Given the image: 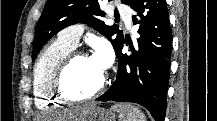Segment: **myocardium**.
I'll list each match as a JSON object with an SVG mask.
<instances>
[{"mask_svg":"<svg viewBox=\"0 0 217 121\" xmlns=\"http://www.w3.org/2000/svg\"><path fill=\"white\" fill-rule=\"evenodd\" d=\"M91 57L87 52L84 51H71L57 66L54 71L53 77L51 79V89L53 95L60 100L61 102H68V103H86L92 101L93 99L97 98L101 95L107 85L108 81V74L105 72L99 86L90 94L82 96V97H75L70 95L64 83V78L67 71L72 67L76 60L79 58H88Z\"/></svg>","mask_w":217,"mask_h":121,"instance_id":"1","label":"myocardium"}]
</instances>
